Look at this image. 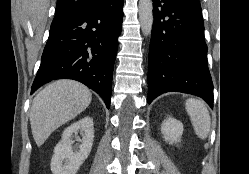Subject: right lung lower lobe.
Returning a JSON list of instances; mask_svg holds the SVG:
<instances>
[{"label":"right lung lower lobe","instance_id":"obj_1","mask_svg":"<svg viewBox=\"0 0 249 174\" xmlns=\"http://www.w3.org/2000/svg\"><path fill=\"white\" fill-rule=\"evenodd\" d=\"M123 20V0L51 24L31 94L56 79L77 80L110 106L113 67Z\"/></svg>","mask_w":249,"mask_h":174}]
</instances>
